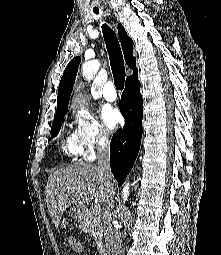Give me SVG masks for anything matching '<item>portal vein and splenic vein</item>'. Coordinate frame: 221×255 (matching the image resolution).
<instances>
[{
  "label": "portal vein and splenic vein",
  "instance_id": "18ae733b",
  "mask_svg": "<svg viewBox=\"0 0 221 255\" xmlns=\"http://www.w3.org/2000/svg\"><path fill=\"white\" fill-rule=\"evenodd\" d=\"M94 210H96V211L98 212V211H100V207L96 206V207L94 208Z\"/></svg>",
  "mask_w": 221,
  "mask_h": 255
}]
</instances>
